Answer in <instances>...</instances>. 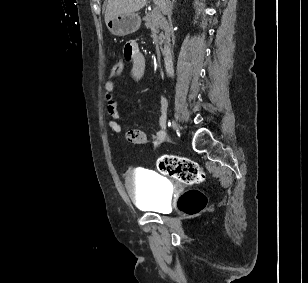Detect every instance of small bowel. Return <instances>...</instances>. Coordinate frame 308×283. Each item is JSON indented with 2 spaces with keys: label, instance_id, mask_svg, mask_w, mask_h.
Wrapping results in <instances>:
<instances>
[{
  "label": "small bowel",
  "instance_id": "obj_1",
  "mask_svg": "<svg viewBox=\"0 0 308 283\" xmlns=\"http://www.w3.org/2000/svg\"><path fill=\"white\" fill-rule=\"evenodd\" d=\"M123 54L132 63L130 72L131 77L134 80H141L146 72V60L143 54L140 52L137 42L130 41L126 43L123 49ZM104 88L107 111L109 115L108 125L115 133H121L123 130L121 125L122 114L114 95L116 89L115 81L113 79H109L105 83ZM160 110V130L152 135V141L155 147L161 145L166 140V133L164 128L166 127L167 101L164 98H161ZM126 139L134 144H144L147 142V134L141 129H131L126 132Z\"/></svg>",
  "mask_w": 308,
  "mask_h": 283
}]
</instances>
